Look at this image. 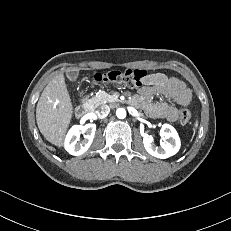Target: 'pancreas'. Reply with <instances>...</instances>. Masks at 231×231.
Wrapping results in <instances>:
<instances>
[{
    "label": "pancreas",
    "instance_id": "1",
    "mask_svg": "<svg viewBox=\"0 0 231 231\" xmlns=\"http://www.w3.org/2000/svg\"><path fill=\"white\" fill-rule=\"evenodd\" d=\"M96 105L104 104L107 102H113L114 97L109 95L108 93L102 91L98 93L95 97L91 99Z\"/></svg>",
    "mask_w": 231,
    "mask_h": 231
}]
</instances>
